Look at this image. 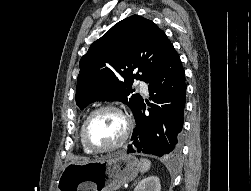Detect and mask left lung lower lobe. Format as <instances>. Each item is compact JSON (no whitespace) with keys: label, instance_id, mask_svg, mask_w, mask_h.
I'll use <instances>...</instances> for the list:
<instances>
[{"label":"left lung lower lobe","instance_id":"1","mask_svg":"<svg viewBox=\"0 0 251 191\" xmlns=\"http://www.w3.org/2000/svg\"><path fill=\"white\" fill-rule=\"evenodd\" d=\"M185 72L173 48L151 77L148 85L152 104L145 115L144 102L135 116L136 127L127 153L143 152L157 156L178 154L186 103Z\"/></svg>","mask_w":251,"mask_h":191}]
</instances>
